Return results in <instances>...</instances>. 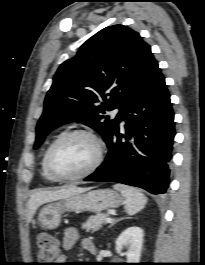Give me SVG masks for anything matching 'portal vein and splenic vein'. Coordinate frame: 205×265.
Listing matches in <instances>:
<instances>
[{
    "instance_id": "obj_1",
    "label": "portal vein and splenic vein",
    "mask_w": 205,
    "mask_h": 265,
    "mask_svg": "<svg viewBox=\"0 0 205 265\" xmlns=\"http://www.w3.org/2000/svg\"><path fill=\"white\" fill-rule=\"evenodd\" d=\"M105 222H106V223H112V222H113V219L110 218V217H107V218L105 219Z\"/></svg>"
}]
</instances>
